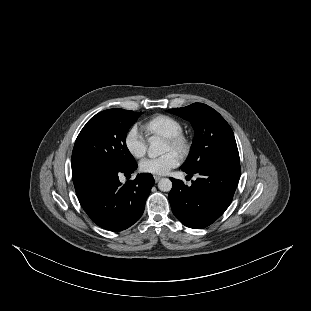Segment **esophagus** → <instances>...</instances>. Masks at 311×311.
Segmentation results:
<instances>
[{
  "label": "esophagus",
  "mask_w": 311,
  "mask_h": 311,
  "mask_svg": "<svg viewBox=\"0 0 311 311\" xmlns=\"http://www.w3.org/2000/svg\"><path fill=\"white\" fill-rule=\"evenodd\" d=\"M153 177L156 183L161 179V177L158 175H154Z\"/></svg>",
  "instance_id": "34e87169"
}]
</instances>
